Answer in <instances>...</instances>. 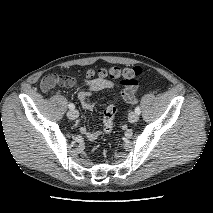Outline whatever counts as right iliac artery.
I'll use <instances>...</instances> for the list:
<instances>
[{
  "mask_svg": "<svg viewBox=\"0 0 213 213\" xmlns=\"http://www.w3.org/2000/svg\"><path fill=\"white\" fill-rule=\"evenodd\" d=\"M68 107H69L70 110H74V108H75L74 104H72V103H70V104L68 105Z\"/></svg>",
  "mask_w": 213,
  "mask_h": 213,
  "instance_id": "right-iliac-artery-1",
  "label": "right iliac artery"
}]
</instances>
